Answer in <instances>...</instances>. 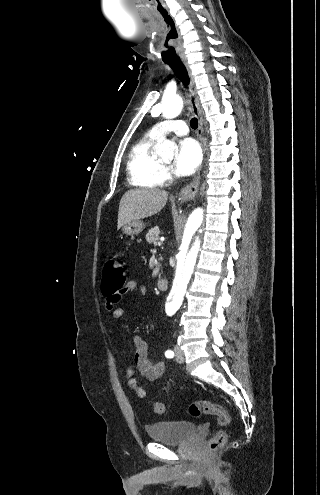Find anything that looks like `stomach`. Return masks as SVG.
<instances>
[{
    "label": "stomach",
    "mask_w": 320,
    "mask_h": 495,
    "mask_svg": "<svg viewBox=\"0 0 320 495\" xmlns=\"http://www.w3.org/2000/svg\"><path fill=\"white\" fill-rule=\"evenodd\" d=\"M144 229V223L141 220H134L123 225V232L126 235H138Z\"/></svg>",
    "instance_id": "0dacf381"
}]
</instances>
